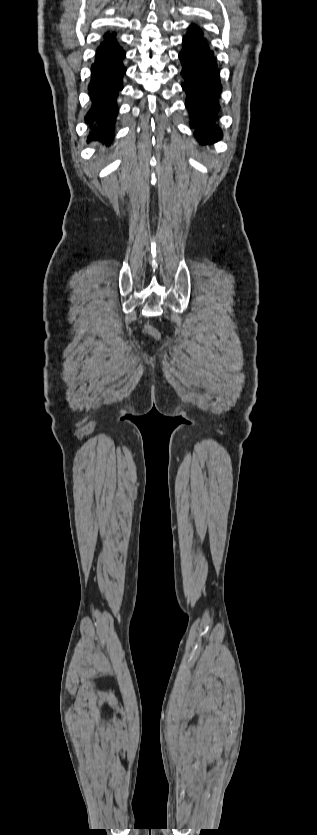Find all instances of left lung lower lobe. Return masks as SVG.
<instances>
[{"label":"left lung lower lobe","instance_id":"obj_1","mask_svg":"<svg viewBox=\"0 0 317 835\" xmlns=\"http://www.w3.org/2000/svg\"><path fill=\"white\" fill-rule=\"evenodd\" d=\"M182 63L183 90L187 94L186 108L194 135L200 143H211L222 138V131L215 124L220 108L217 97L221 92L219 69L214 52L207 43L203 32L191 25L183 38V49L179 54Z\"/></svg>","mask_w":317,"mask_h":835}]
</instances>
